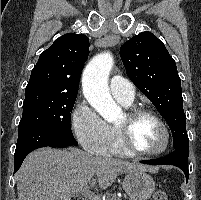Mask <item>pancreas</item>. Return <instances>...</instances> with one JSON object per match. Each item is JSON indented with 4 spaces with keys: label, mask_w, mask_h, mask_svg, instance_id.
Segmentation results:
<instances>
[{
    "label": "pancreas",
    "mask_w": 201,
    "mask_h": 200,
    "mask_svg": "<svg viewBox=\"0 0 201 200\" xmlns=\"http://www.w3.org/2000/svg\"><path fill=\"white\" fill-rule=\"evenodd\" d=\"M106 200H120V199L115 195H110V196H107Z\"/></svg>",
    "instance_id": "pancreas-1"
}]
</instances>
